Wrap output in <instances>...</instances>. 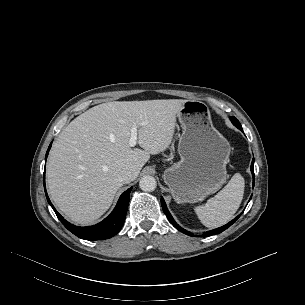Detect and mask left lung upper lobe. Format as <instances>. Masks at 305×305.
<instances>
[{
    "label": "left lung upper lobe",
    "instance_id": "5c2ea615",
    "mask_svg": "<svg viewBox=\"0 0 305 305\" xmlns=\"http://www.w3.org/2000/svg\"><path fill=\"white\" fill-rule=\"evenodd\" d=\"M232 123L238 128V129H242L241 124L239 123V121L235 118V117H231L230 118Z\"/></svg>",
    "mask_w": 305,
    "mask_h": 305
}]
</instances>
